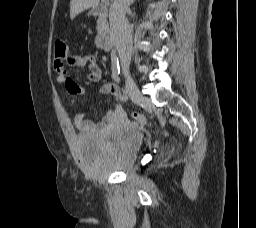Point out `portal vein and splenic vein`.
I'll use <instances>...</instances> for the list:
<instances>
[{
	"label": "portal vein and splenic vein",
	"instance_id": "portal-vein-and-splenic-vein-1",
	"mask_svg": "<svg viewBox=\"0 0 256 228\" xmlns=\"http://www.w3.org/2000/svg\"><path fill=\"white\" fill-rule=\"evenodd\" d=\"M103 2H106V1H108V0H102Z\"/></svg>",
	"mask_w": 256,
	"mask_h": 228
}]
</instances>
